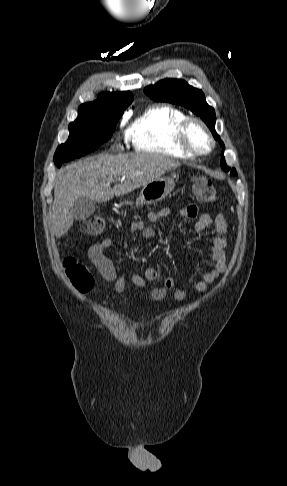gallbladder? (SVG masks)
I'll return each mask as SVG.
<instances>
[{"label": "gallbladder", "instance_id": "gallbladder-1", "mask_svg": "<svg viewBox=\"0 0 287 486\" xmlns=\"http://www.w3.org/2000/svg\"><path fill=\"white\" fill-rule=\"evenodd\" d=\"M96 202L89 197H78L73 206L74 218L82 221L90 217L96 210Z\"/></svg>", "mask_w": 287, "mask_h": 486}]
</instances>
